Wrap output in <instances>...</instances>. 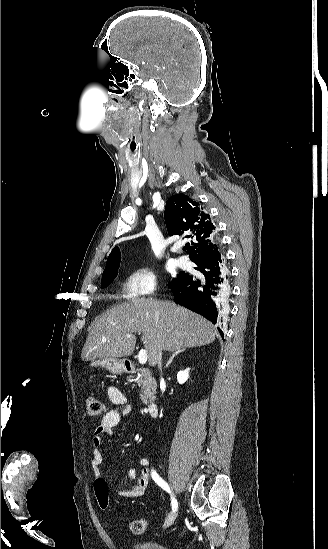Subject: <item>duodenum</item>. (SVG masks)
I'll return each instance as SVG.
<instances>
[{"instance_id":"duodenum-1","label":"duodenum","mask_w":328,"mask_h":549,"mask_svg":"<svg viewBox=\"0 0 328 549\" xmlns=\"http://www.w3.org/2000/svg\"><path fill=\"white\" fill-rule=\"evenodd\" d=\"M128 370L130 372H134L136 369L133 366H130L128 367ZM158 409H159L158 404L155 402H152L148 405V413L153 417L157 416Z\"/></svg>"}]
</instances>
